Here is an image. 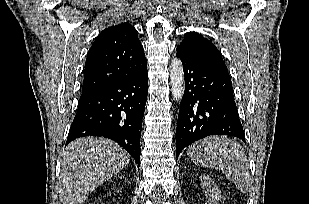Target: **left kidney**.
<instances>
[{"mask_svg": "<svg viewBox=\"0 0 309 204\" xmlns=\"http://www.w3.org/2000/svg\"><path fill=\"white\" fill-rule=\"evenodd\" d=\"M200 179L202 182V188L208 196L209 204H218L217 201L222 199V195L213 179L209 176H201Z\"/></svg>", "mask_w": 309, "mask_h": 204, "instance_id": "5707ae66", "label": "left kidney"}]
</instances>
